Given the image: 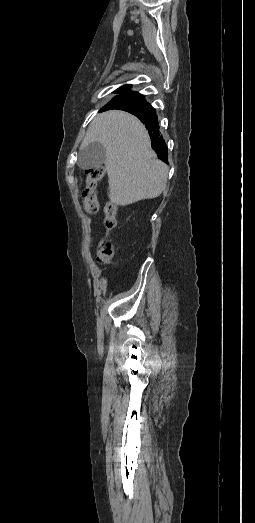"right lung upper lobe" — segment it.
I'll return each mask as SVG.
<instances>
[{
  "label": "right lung upper lobe",
  "instance_id": "obj_1",
  "mask_svg": "<svg viewBox=\"0 0 255 523\" xmlns=\"http://www.w3.org/2000/svg\"><path fill=\"white\" fill-rule=\"evenodd\" d=\"M130 85L119 88L116 92L128 91ZM109 109H120L125 110L136 117H138L144 124L146 129L149 131V135L152 142V148L156 151L158 158L168 163V148L165 144L164 139L160 136L159 125L157 123V115L155 109H153L147 102H121V101H110L104 106L100 112Z\"/></svg>",
  "mask_w": 255,
  "mask_h": 523
}]
</instances>
